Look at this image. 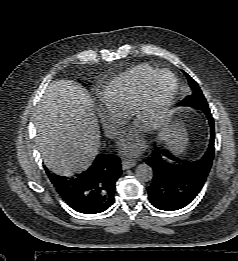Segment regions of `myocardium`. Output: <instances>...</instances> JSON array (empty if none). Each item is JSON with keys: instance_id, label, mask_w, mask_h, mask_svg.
Returning a JSON list of instances; mask_svg holds the SVG:
<instances>
[{"instance_id": "myocardium-1", "label": "myocardium", "mask_w": 238, "mask_h": 261, "mask_svg": "<svg viewBox=\"0 0 238 261\" xmlns=\"http://www.w3.org/2000/svg\"><path fill=\"white\" fill-rule=\"evenodd\" d=\"M162 74H168L173 79V87L172 90L163 103L159 113L154 118L151 126L148 129V132L150 134H155L159 132L167 123L170 112L172 109V106L175 102L178 88H179V82L177 76L168 69H160L154 71L152 74H150L142 83L140 90L138 92V95L136 97V100L134 102V105L129 113V119L132 124L136 121V119L143 114L146 111L147 108V101H148V88L150 84L160 75Z\"/></svg>"}]
</instances>
